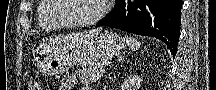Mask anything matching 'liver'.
Masks as SVG:
<instances>
[{
  "label": "liver",
  "mask_w": 216,
  "mask_h": 90,
  "mask_svg": "<svg viewBox=\"0 0 216 90\" xmlns=\"http://www.w3.org/2000/svg\"><path fill=\"white\" fill-rule=\"evenodd\" d=\"M101 28L99 30H92L89 34H79V36H74V38H70V42H72L73 46H78V44H83L86 42L88 38H92V34H99Z\"/></svg>",
  "instance_id": "liver-1"
}]
</instances>
